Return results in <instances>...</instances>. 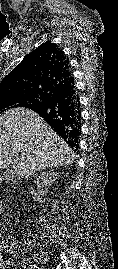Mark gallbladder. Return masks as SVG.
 I'll return each instance as SVG.
<instances>
[{
	"instance_id": "obj_1",
	"label": "gallbladder",
	"mask_w": 118,
	"mask_h": 269,
	"mask_svg": "<svg viewBox=\"0 0 118 269\" xmlns=\"http://www.w3.org/2000/svg\"><path fill=\"white\" fill-rule=\"evenodd\" d=\"M8 172H9V171H8V170H6V171H5V174H8Z\"/></svg>"
}]
</instances>
